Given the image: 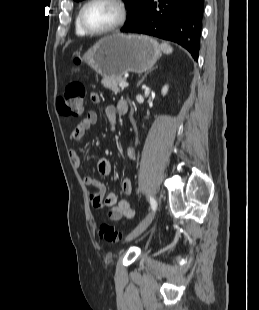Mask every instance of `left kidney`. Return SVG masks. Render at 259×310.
<instances>
[{"label":"left kidney","instance_id":"left-kidney-1","mask_svg":"<svg viewBox=\"0 0 259 310\" xmlns=\"http://www.w3.org/2000/svg\"><path fill=\"white\" fill-rule=\"evenodd\" d=\"M168 92V85H165L163 88H162V95H166Z\"/></svg>","mask_w":259,"mask_h":310}]
</instances>
